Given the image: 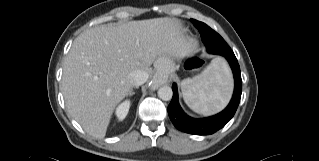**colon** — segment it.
I'll return each instance as SVG.
<instances>
[{
	"label": "colon",
	"mask_w": 319,
	"mask_h": 161,
	"mask_svg": "<svg viewBox=\"0 0 319 161\" xmlns=\"http://www.w3.org/2000/svg\"><path fill=\"white\" fill-rule=\"evenodd\" d=\"M185 69H194L201 65V61L194 56H186L183 61Z\"/></svg>",
	"instance_id": "colon-1"
}]
</instances>
